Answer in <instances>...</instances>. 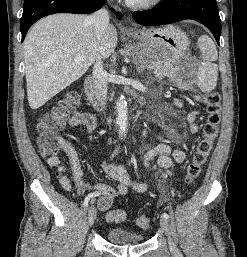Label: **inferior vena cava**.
<instances>
[{"label": "inferior vena cava", "instance_id": "obj_1", "mask_svg": "<svg viewBox=\"0 0 247 257\" xmlns=\"http://www.w3.org/2000/svg\"><path fill=\"white\" fill-rule=\"evenodd\" d=\"M89 21L92 22L97 39L100 40L109 25V14L106 8L94 12L89 16ZM94 78V94L98 99L102 108L106 105L107 88H108V74L103 68V62L98 59L93 66Z\"/></svg>", "mask_w": 247, "mask_h": 257}]
</instances>
